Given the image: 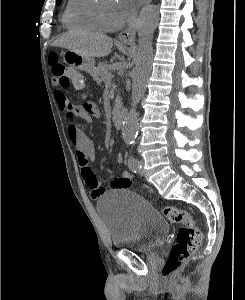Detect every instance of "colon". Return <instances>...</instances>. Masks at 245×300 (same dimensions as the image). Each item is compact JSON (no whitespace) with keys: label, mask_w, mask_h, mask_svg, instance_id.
Instances as JSON below:
<instances>
[{"label":"colon","mask_w":245,"mask_h":300,"mask_svg":"<svg viewBox=\"0 0 245 300\" xmlns=\"http://www.w3.org/2000/svg\"><path fill=\"white\" fill-rule=\"evenodd\" d=\"M49 64L54 77L58 79L61 87H73L76 90L84 88V77L77 70L60 63L56 55L50 56ZM162 213L169 222L181 224L176 242L162 268L163 276L169 278L197 249L202 240V231L192 215L186 210L175 206H165L162 209Z\"/></svg>","instance_id":"1"}]
</instances>
